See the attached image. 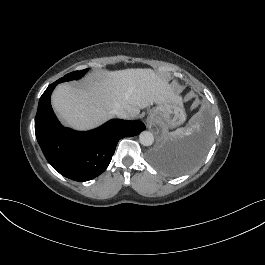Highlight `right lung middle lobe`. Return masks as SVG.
I'll use <instances>...</instances> for the list:
<instances>
[{"mask_svg": "<svg viewBox=\"0 0 265 265\" xmlns=\"http://www.w3.org/2000/svg\"><path fill=\"white\" fill-rule=\"evenodd\" d=\"M87 71L88 69L81 70V71H74L72 73L65 75L63 78H60L58 81L61 83L64 81L80 79Z\"/></svg>", "mask_w": 265, "mask_h": 265, "instance_id": "dd1d6c3e", "label": "right lung middle lobe"}]
</instances>
